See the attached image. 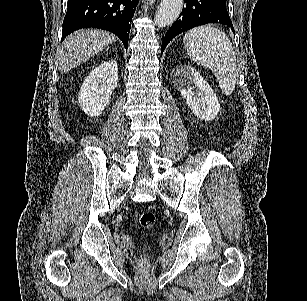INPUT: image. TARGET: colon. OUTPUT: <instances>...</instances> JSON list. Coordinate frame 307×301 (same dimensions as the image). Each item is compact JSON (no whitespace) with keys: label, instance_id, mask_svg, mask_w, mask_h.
Instances as JSON below:
<instances>
[{"label":"colon","instance_id":"colon-1","mask_svg":"<svg viewBox=\"0 0 307 301\" xmlns=\"http://www.w3.org/2000/svg\"><path fill=\"white\" fill-rule=\"evenodd\" d=\"M156 217L152 211L143 212L137 220V225L140 228L149 229L155 225ZM142 262H145V259H142Z\"/></svg>","mask_w":307,"mask_h":301}]
</instances>
